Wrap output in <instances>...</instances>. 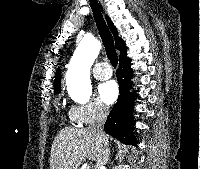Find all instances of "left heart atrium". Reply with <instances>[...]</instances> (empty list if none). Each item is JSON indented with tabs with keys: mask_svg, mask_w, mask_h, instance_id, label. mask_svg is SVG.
Returning <instances> with one entry per match:
<instances>
[{
	"mask_svg": "<svg viewBox=\"0 0 200 169\" xmlns=\"http://www.w3.org/2000/svg\"><path fill=\"white\" fill-rule=\"evenodd\" d=\"M100 99L105 104H112L118 97V86L113 80L107 81L99 86Z\"/></svg>",
	"mask_w": 200,
	"mask_h": 169,
	"instance_id": "obj_1",
	"label": "left heart atrium"
}]
</instances>
